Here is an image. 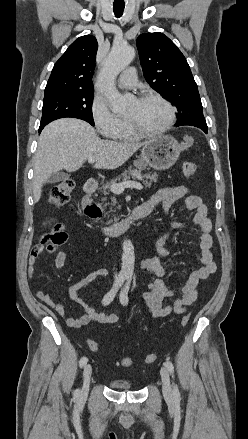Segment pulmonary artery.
<instances>
[{
    "instance_id": "pulmonary-artery-1",
    "label": "pulmonary artery",
    "mask_w": 248,
    "mask_h": 439,
    "mask_svg": "<svg viewBox=\"0 0 248 439\" xmlns=\"http://www.w3.org/2000/svg\"><path fill=\"white\" fill-rule=\"evenodd\" d=\"M136 84V71L134 68H128L122 73L118 79V85L120 88L127 89L135 86Z\"/></svg>"
}]
</instances>
